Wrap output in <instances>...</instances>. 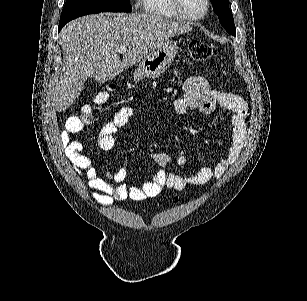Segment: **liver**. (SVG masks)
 <instances>
[{
    "mask_svg": "<svg viewBox=\"0 0 307 301\" xmlns=\"http://www.w3.org/2000/svg\"><path fill=\"white\" fill-rule=\"evenodd\" d=\"M192 30L189 22H177L155 14H87L65 24L60 36L63 64L57 84L55 108L66 110L78 98L87 78L106 82L124 68L148 56L165 40ZM127 46L120 60L117 48Z\"/></svg>",
    "mask_w": 307,
    "mask_h": 301,
    "instance_id": "6515ba94",
    "label": "liver"
}]
</instances>
